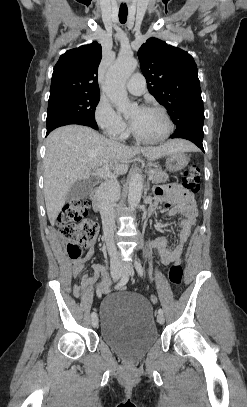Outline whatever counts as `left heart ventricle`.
<instances>
[{"label":"left heart ventricle","instance_id":"obj_1","mask_svg":"<svg viewBox=\"0 0 247 407\" xmlns=\"http://www.w3.org/2000/svg\"><path fill=\"white\" fill-rule=\"evenodd\" d=\"M129 121L142 138L157 139L167 131V123L161 113L155 110L136 108L129 115Z\"/></svg>","mask_w":247,"mask_h":407}]
</instances>
